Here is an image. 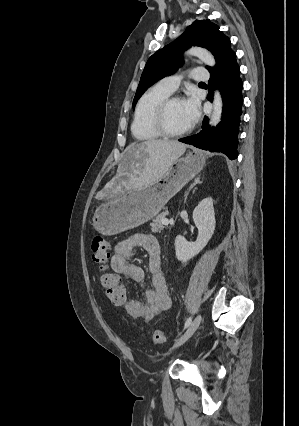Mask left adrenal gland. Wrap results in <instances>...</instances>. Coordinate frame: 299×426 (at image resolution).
I'll list each match as a JSON object with an SVG mask.
<instances>
[{
    "instance_id": "a2214340",
    "label": "left adrenal gland",
    "mask_w": 299,
    "mask_h": 426,
    "mask_svg": "<svg viewBox=\"0 0 299 426\" xmlns=\"http://www.w3.org/2000/svg\"><path fill=\"white\" fill-rule=\"evenodd\" d=\"M200 183H202L201 181H200V176L199 177H197V178H195V180H194V182L190 185V187H189V189H188V191L185 193V200H184V202H186V199H187V196L189 195V193H190V191L197 185V184H200Z\"/></svg>"
}]
</instances>
